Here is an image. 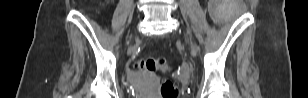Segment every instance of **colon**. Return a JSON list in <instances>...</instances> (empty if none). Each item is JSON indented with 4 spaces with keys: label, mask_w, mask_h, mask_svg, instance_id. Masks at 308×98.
I'll list each match as a JSON object with an SVG mask.
<instances>
[{
    "label": "colon",
    "mask_w": 308,
    "mask_h": 98,
    "mask_svg": "<svg viewBox=\"0 0 308 98\" xmlns=\"http://www.w3.org/2000/svg\"><path fill=\"white\" fill-rule=\"evenodd\" d=\"M134 66L149 72H164L169 70V65L164 58H142L139 59ZM161 94L164 98H174L178 94V90L170 81H165L161 87Z\"/></svg>",
    "instance_id": "obj_1"
}]
</instances>
